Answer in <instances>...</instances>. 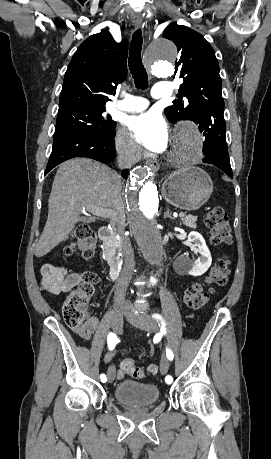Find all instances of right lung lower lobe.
Here are the masks:
<instances>
[{"label": "right lung lower lobe", "instance_id": "1", "mask_svg": "<svg viewBox=\"0 0 271 459\" xmlns=\"http://www.w3.org/2000/svg\"><path fill=\"white\" fill-rule=\"evenodd\" d=\"M113 133L114 130L105 134L74 132L55 139L45 174L58 164L74 157H87L102 163L111 162L116 153ZM127 174V170L122 172L124 178Z\"/></svg>", "mask_w": 271, "mask_h": 459}]
</instances>
